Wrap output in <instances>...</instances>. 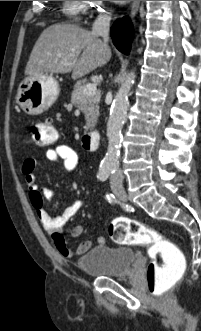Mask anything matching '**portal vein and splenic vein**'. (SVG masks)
I'll list each match as a JSON object with an SVG mask.
<instances>
[{
  "instance_id": "1",
  "label": "portal vein and splenic vein",
  "mask_w": 201,
  "mask_h": 331,
  "mask_svg": "<svg viewBox=\"0 0 201 331\" xmlns=\"http://www.w3.org/2000/svg\"><path fill=\"white\" fill-rule=\"evenodd\" d=\"M57 56L61 57V54H57ZM96 92H97L96 85H95V84H92V83L87 84V85L84 87V90H83V93H84L86 96L94 95V94H96Z\"/></svg>"
}]
</instances>
